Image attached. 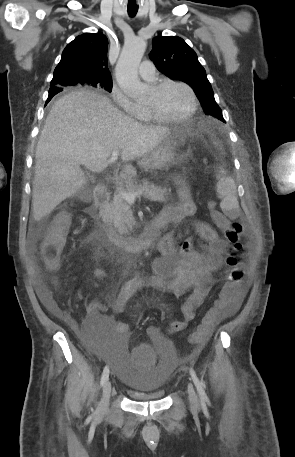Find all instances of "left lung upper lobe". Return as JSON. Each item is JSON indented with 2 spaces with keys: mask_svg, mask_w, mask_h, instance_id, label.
Returning <instances> with one entry per match:
<instances>
[{
  "mask_svg": "<svg viewBox=\"0 0 295 457\" xmlns=\"http://www.w3.org/2000/svg\"><path fill=\"white\" fill-rule=\"evenodd\" d=\"M151 60L165 76L191 86L206 115L225 122L217 105L206 71L198 61L196 52L180 37L159 36L153 39Z\"/></svg>",
  "mask_w": 295,
  "mask_h": 457,
  "instance_id": "5c2ea615",
  "label": "left lung upper lobe"
}]
</instances>
